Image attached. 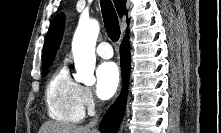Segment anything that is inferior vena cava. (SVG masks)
<instances>
[{"instance_id": "1", "label": "inferior vena cava", "mask_w": 221, "mask_h": 133, "mask_svg": "<svg viewBox=\"0 0 221 133\" xmlns=\"http://www.w3.org/2000/svg\"><path fill=\"white\" fill-rule=\"evenodd\" d=\"M97 121H98V117L96 116L94 119H92L89 124L87 125L88 128L92 129V132L93 133H97V130L94 129V127L96 126L97 124Z\"/></svg>"}]
</instances>
